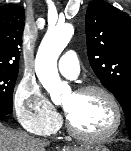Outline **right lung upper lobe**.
<instances>
[{"label": "right lung upper lobe", "instance_id": "right-lung-upper-lobe-1", "mask_svg": "<svg viewBox=\"0 0 131 151\" xmlns=\"http://www.w3.org/2000/svg\"><path fill=\"white\" fill-rule=\"evenodd\" d=\"M25 11L22 6L0 7V69H18L24 30Z\"/></svg>", "mask_w": 131, "mask_h": 151}]
</instances>
